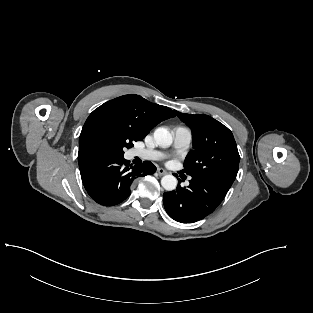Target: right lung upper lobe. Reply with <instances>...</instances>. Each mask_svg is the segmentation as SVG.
<instances>
[{"label": "right lung upper lobe", "mask_w": 313, "mask_h": 313, "mask_svg": "<svg viewBox=\"0 0 313 313\" xmlns=\"http://www.w3.org/2000/svg\"><path fill=\"white\" fill-rule=\"evenodd\" d=\"M175 113L134 94L110 100L87 118L79 138L78 161L103 155L110 134L117 129H127L143 140L158 123L174 117Z\"/></svg>", "instance_id": "cb5924a9"}]
</instances>
